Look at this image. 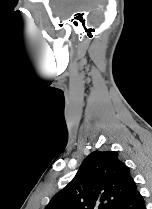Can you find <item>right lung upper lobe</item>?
Listing matches in <instances>:
<instances>
[{
	"instance_id": "cb5924a9",
	"label": "right lung upper lobe",
	"mask_w": 152,
	"mask_h": 209,
	"mask_svg": "<svg viewBox=\"0 0 152 209\" xmlns=\"http://www.w3.org/2000/svg\"><path fill=\"white\" fill-rule=\"evenodd\" d=\"M137 188L129 168L114 151H94L73 180L45 209H115Z\"/></svg>"
}]
</instances>
